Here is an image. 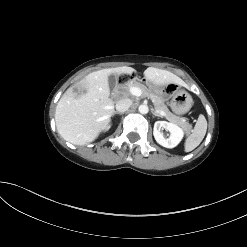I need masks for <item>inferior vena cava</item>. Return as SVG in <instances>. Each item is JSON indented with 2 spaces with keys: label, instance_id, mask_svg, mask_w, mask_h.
Returning <instances> with one entry per match:
<instances>
[{
  "label": "inferior vena cava",
  "instance_id": "obj_1",
  "mask_svg": "<svg viewBox=\"0 0 247 247\" xmlns=\"http://www.w3.org/2000/svg\"><path fill=\"white\" fill-rule=\"evenodd\" d=\"M132 105V101L129 98L120 99L116 102V110L120 113L127 111Z\"/></svg>",
  "mask_w": 247,
  "mask_h": 247
}]
</instances>
